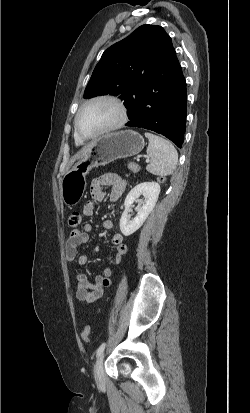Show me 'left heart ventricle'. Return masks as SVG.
Listing matches in <instances>:
<instances>
[{
  "label": "left heart ventricle",
  "instance_id": "obj_1",
  "mask_svg": "<svg viewBox=\"0 0 250 413\" xmlns=\"http://www.w3.org/2000/svg\"><path fill=\"white\" fill-rule=\"evenodd\" d=\"M119 117L118 109L109 102H96L87 106L78 121L84 135H93L114 124Z\"/></svg>",
  "mask_w": 250,
  "mask_h": 413
}]
</instances>
